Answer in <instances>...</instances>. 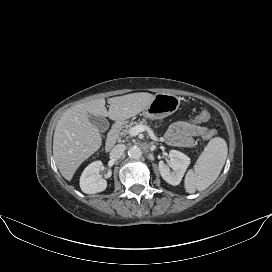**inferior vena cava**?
<instances>
[{"label": "inferior vena cava", "instance_id": "inferior-vena-cava-1", "mask_svg": "<svg viewBox=\"0 0 272 272\" xmlns=\"http://www.w3.org/2000/svg\"><path fill=\"white\" fill-rule=\"evenodd\" d=\"M125 145L124 144H118L113 147V149L110 151V159L112 160H118L121 158L125 151Z\"/></svg>", "mask_w": 272, "mask_h": 272}]
</instances>
